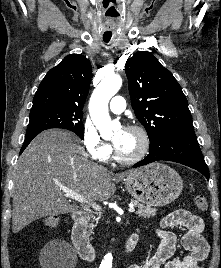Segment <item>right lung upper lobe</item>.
I'll list each match as a JSON object with an SVG mask.
<instances>
[{"instance_id": "obj_1", "label": "right lung upper lobe", "mask_w": 221, "mask_h": 268, "mask_svg": "<svg viewBox=\"0 0 221 268\" xmlns=\"http://www.w3.org/2000/svg\"><path fill=\"white\" fill-rule=\"evenodd\" d=\"M91 76V63L85 56H66L40 83L30 112L48 109L82 112Z\"/></svg>"}]
</instances>
